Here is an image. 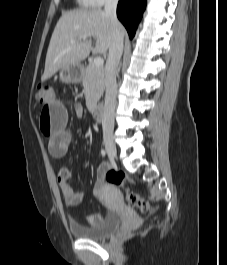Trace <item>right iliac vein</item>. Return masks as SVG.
<instances>
[{
  "mask_svg": "<svg viewBox=\"0 0 227 265\" xmlns=\"http://www.w3.org/2000/svg\"><path fill=\"white\" fill-rule=\"evenodd\" d=\"M104 145L107 151V154L111 160H114L116 157V146L114 143L113 135L110 133L104 134Z\"/></svg>",
  "mask_w": 227,
  "mask_h": 265,
  "instance_id": "63e3f726",
  "label": "right iliac vein"
}]
</instances>
